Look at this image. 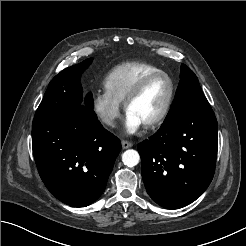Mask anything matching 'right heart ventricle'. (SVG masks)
<instances>
[{"label": "right heart ventricle", "instance_id": "obj_1", "mask_svg": "<svg viewBox=\"0 0 246 246\" xmlns=\"http://www.w3.org/2000/svg\"><path fill=\"white\" fill-rule=\"evenodd\" d=\"M160 70L157 66L147 62H125L108 72L104 79V87L115 100L123 103L140 79Z\"/></svg>", "mask_w": 246, "mask_h": 246}]
</instances>
